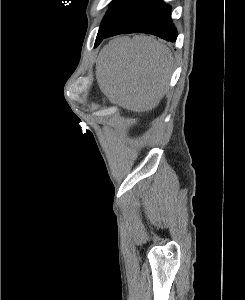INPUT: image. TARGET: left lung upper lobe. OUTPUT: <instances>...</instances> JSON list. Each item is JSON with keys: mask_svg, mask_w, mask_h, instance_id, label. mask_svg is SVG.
I'll list each match as a JSON object with an SVG mask.
<instances>
[{"mask_svg": "<svg viewBox=\"0 0 245 300\" xmlns=\"http://www.w3.org/2000/svg\"><path fill=\"white\" fill-rule=\"evenodd\" d=\"M144 0H113L104 16L98 33L107 32L125 13Z\"/></svg>", "mask_w": 245, "mask_h": 300, "instance_id": "5c2ea615", "label": "left lung upper lobe"}]
</instances>
